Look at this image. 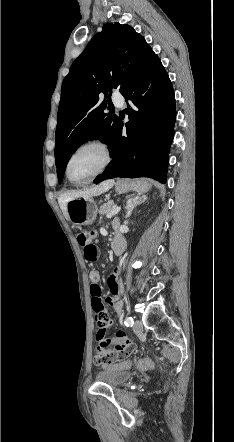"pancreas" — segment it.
Listing matches in <instances>:
<instances>
[{"label": "pancreas", "instance_id": "1", "mask_svg": "<svg viewBox=\"0 0 234 442\" xmlns=\"http://www.w3.org/2000/svg\"><path fill=\"white\" fill-rule=\"evenodd\" d=\"M115 208V204L113 201H108L100 206L98 213L100 215L108 214Z\"/></svg>", "mask_w": 234, "mask_h": 442}]
</instances>
